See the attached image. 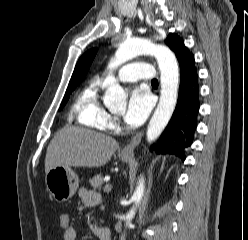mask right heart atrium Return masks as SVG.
<instances>
[{
  "label": "right heart atrium",
  "instance_id": "obj_1",
  "mask_svg": "<svg viewBox=\"0 0 248 240\" xmlns=\"http://www.w3.org/2000/svg\"><path fill=\"white\" fill-rule=\"evenodd\" d=\"M117 125H118L117 118L107 113L103 120V127L105 129H115Z\"/></svg>",
  "mask_w": 248,
  "mask_h": 240
}]
</instances>
